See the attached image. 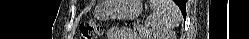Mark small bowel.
Here are the masks:
<instances>
[{"mask_svg": "<svg viewBox=\"0 0 249 39\" xmlns=\"http://www.w3.org/2000/svg\"><path fill=\"white\" fill-rule=\"evenodd\" d=\"M109 32L121 38L131 39L134 37V32L127 28L112 27Z\"/></svg>", "mask_w": 249, "mask_h": 39, "instance_id": "1", "label": "small bowel"}]
</instances>
